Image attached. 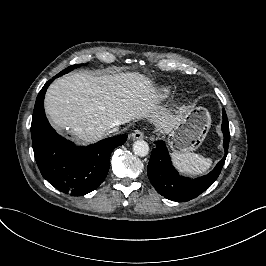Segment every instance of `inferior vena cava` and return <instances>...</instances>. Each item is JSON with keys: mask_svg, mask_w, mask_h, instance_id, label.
Instances as JSON below:
<instances>
[{"mask_svg": "<svg viewBox=\"0 0 266 266\" xmlns=\"http://www.w3.org/2000/svg\"><path fill=\"white\" fill-rule=\"evenodd\" d=\"M118 130H119V128L116 126V127L112 128V129H110L108 131V134L113 133V132H117Z\"/></svg>", "mask_w": 266, "mask_h": 266, "instance_id": "602c4592", "label": "inferior vena cava"}]
</instances>
